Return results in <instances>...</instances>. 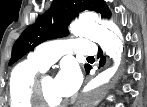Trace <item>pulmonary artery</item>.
Masks as SVG:
<instances>
[{
    "mask_svg": "<svg viewBox=\"0 0 147 107\" xmlns=\"http://www.w3.org/2000/svg\"><path fill=\"white\" fill-rule=\"evenodd\" d=\"M81 55H95V43L85 39H65L42 44L35 52L31 53V60L48 68L55 63L61 55L72 53Z\"/></svg>",
    "mask_w": 147,
    "mask_h": 107,
    "instance_id": "e3ab8cb5",
    "label": "pulmonary artery"
}]
</instances>
